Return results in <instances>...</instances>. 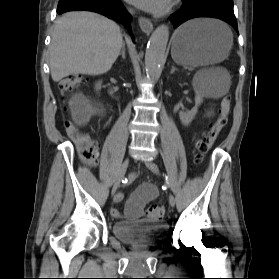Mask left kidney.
<instances>
[{
  "instance_id": "1",
  "label": "left kidney",
  "mask_w": 279,
  "mask_h": 279,
  "mask_svg": "<svg viewBox=\"0 0 279 279\" xmlns=\"http://www.w3.org/2000/svg\"><path fill=\"white\" fill-rule=\"evenodd\" d=\"M193 87H194V91H195V107L188 111V112H179V118L181 123L184 126H188L192 120L195 118L197 112H198V107L199 105H201V103L203 102V96L201 95L197 84L195 83V80L193 81Z\"/></svg>"
}]
</instances>
